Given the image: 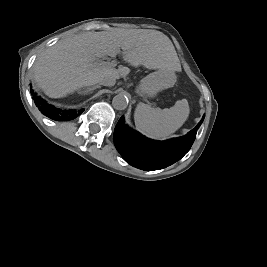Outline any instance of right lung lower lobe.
I'll return each mask as SVG.
<instances>
[{
  "mask_svg": "<svg viewBox=\"0 0 267 267\" xmlns=\"http://www.w3.org/2000/svg\"><path fill=\"white\" fill-rule=\"evenodd\" d=\"M33 97H34V102L38 107V109L41 111V113L49 117L50 119L56 121L72 120L76 118L78 114H81L84 111V109L78 112H76L75 110H61L48 104L40 97H36V95H33Z\"/></svg>",
  "mask_w": 267,
  "mask_h": 267,
  "instance_id": "obj_1",
  "label": "right lung lower lobe"
}]
</instances>
